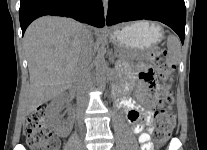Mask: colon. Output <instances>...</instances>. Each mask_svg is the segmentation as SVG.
I'll list each match as a JSON object with an SVG mask.
<instances>
[{
    "instance_id": "colon-1",
    "label": "colon",
    "mask_w": 207,
    "mask_h": 150,
    "mask_svg": "<svg viewBox=\"0 0 207 150\" xmlns=\"http://www.w3.org/2000/svg\"><path fill=\"white\" fill-rule=\"evenodd\" d=\"M154 66L160 71L163 79H166L172 70L166 50H155L151 55ZM158 106L155 113L154 141L157 145L163 144L175 130V118L171 113L172 97L169 85L162 80L156 88ZM27 143L31 150H57V139L52 135L46 125L45 110L39 108L32 112L25 125Z\"/></svg>"
}]
</instances>
